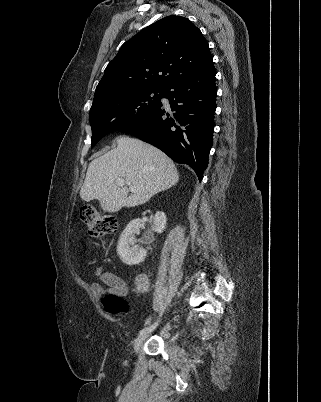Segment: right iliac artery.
Returning a JSON list of instances; mask_svg holds the SVG:
<instances>
[{"label": "right iliac artery", "instance_id": "82829eb1", "mask_svg": "<svg viewBox=\"0 0 321 402\" xmlns=\"http://www.w3.org/2000/svg\"><path fill=\"white\" fill-rule=\"evenodd\" d=\"M163 309H164V307L162 306L161 310L163 311ZM161 314H162V312H161ZM157 325H158V321L155 322L154 324H152L151 326H148V327H145L144 329H142L139 332V334L142 335V334L149 333V332L153 331L156 328Z\"/></svg>", "mask_w": 321, "mask_h": 402}]
</instances>
